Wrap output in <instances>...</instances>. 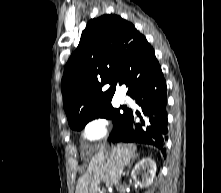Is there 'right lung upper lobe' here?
Returning a JSON list of instances; mask_svg holds the SVG:
<instances>
[{
  "instance_id": "obj_1",
  "label": "right lung upper lobe",
  "mask_w": 221,
  "mask_h": 193,
  "mask_svg": "<svg viewBox=\"0 0 221 193\" xmlns=\"http://www.w3.org/2000/svg\"><path fill=\"white\" fill-rule=\"evenodd\" d=\"M154 50L134 25L118 15L90 20L62 78L63 105L71 123L111 104L116 81L128 87L156 62ZM105 84L112 86L103 90Z\"/></svg>"
}]
</instances>
